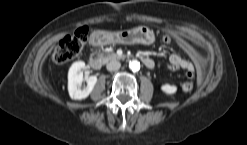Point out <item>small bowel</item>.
I'll return each instance as SVG.
<instances>
[{
	"label": "small bowel",
	"mask_w": 247,
	"mask_h": 145,
	"mask_svg": "<svg viewBox=\"0 0 247 145\" xmlns=\"http://www.w3.org/2000/svg\"><path fill=\"white\" fill-rule=\"evenodd\" d=\"M176 42L187 52V54L190 56V59L183 58L178 54H171L168 58L169 68L173 71L182 69L187 72V76H193V73L196 69H202V60L188 41L181 37H177Z\"/></svg>",
	"instance_id": "obj_1"
}]
</instances>
